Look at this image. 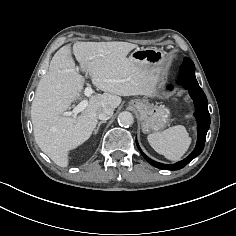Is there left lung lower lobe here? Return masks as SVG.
<instances>
[{"mask_svg":"<svg viewBox=\"0 0 236 236\" xmlns=\"http://www.w3.org/2000/svg\"><path fill=\"white\" fill-rule=\"evenodd\" d=\"M180 81L183 84L185 88L188 89V92L193 99L194 107H195V116L197 118V131H198V139L197 144L193 152L186 157L184 160L179 161L175 164L168 165V164H162L159 162H155L149 157H147L140 149L137 141V147L140 150L143 157L153 166L163 169V170H179L186 166L190 161H192L195 157H197L204 148L205 140H206V134L210 126V115L208 112L207 107V98L203 92V90L200 88L196 77H195V66L191 59L188 57L184 58L183 65L180 68ZM169 88H171L169 86Z\"/></svg>","mask_w":236,"mask_h":236,"instance_id":"1","label":"left lung lower lobe"}]
</instances>
